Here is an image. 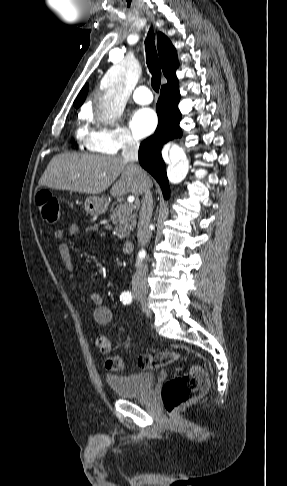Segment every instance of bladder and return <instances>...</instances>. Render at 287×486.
Returning <instances> with one entry per match:
<instances>
[{"instance_id": "bladder-1", "label": "bladder", "mask_w": 287, "mask_h": 486, "mask_svg": "<svg viewBox=\"0 0 287 486\" xmlns=\"http://www.w3.org/2000/svg\"><path fill=\"white\" fill-rule=\"evenodd\" d=\"M154 382L155 375L152 373L106 376L110 389L122 398L145 395L152 389Z\"/></svg>"}]
</instances>
